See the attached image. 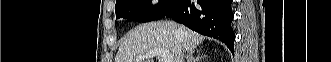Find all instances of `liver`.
Here are the masks:
<instances>
[{
  "instance_id": "6515ba94",
  "label": "liver",
  "mask_w": 331,
  "mask_h": 62,
  "mask_svg": "<svg viewBox=\"0 0 331 62\" xmlns=\"http://www.w3.org/2000/svg\"><path fill=\"white\" fill-rule=\"evenodd\" d=\"M204 37L172 21L142 24L130 31L120 45L115 62H153L140 59L150 50L165 48L180 62L183 52H193Z\"/></svg>"
}]
</instances>
